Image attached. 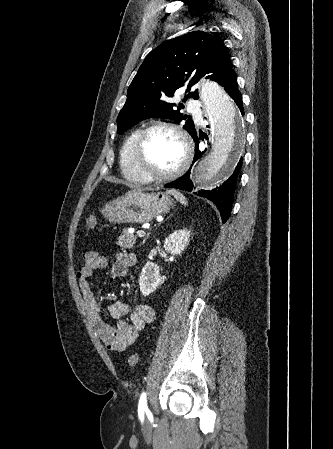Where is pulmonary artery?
I'll return each mask as SVG.
<instances>
[{
    "instance_id": "obj_1",
    "label": "pulmonary artery",
    "mask_w": 333,
    "mask_h": 449,
    "mask_svg": "<svg viewBox=\"0 0 333 449\" xmlns=\"http://www.w3.org/2000/svg\"><path fill=\"white\" fill-rule=\"evenodd\" d=\"M194 106H195V102H194V101H190V102H189V107H190L191 109H193Z\"/></svg>"
}]
</instances>
